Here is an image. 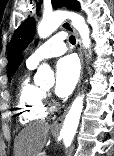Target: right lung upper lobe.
<instances>
[{"label":"right lung upper lobe","mask_w":114,"mask_h":156,"mask_svg":"<svg viewBox=\"0 0 114 156\" xmlns=\"http://www.w3.org/2000/svg\"><path fill=\"white\" fill-rule=\"evenodd\" d=\"M22 60V57H19V59L17 60L16 64L14 65L13 69H12V74L15 73V71L17 70L18 66L20 65Z\"/></svg>","instance_id":"right-lung-upper-lobe-1"}]
</instances>
